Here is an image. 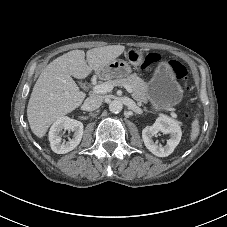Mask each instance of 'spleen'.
Wrapping results in <instances>:
<instances>
[{"mask_svg":"<svg viewBox=\"0 0 227 227\" xmlns=\"http://www.w3.org/2000/svg\"><path fill=\"white\" fill-rule=\"evenodd\" d=\"M198 116L199 115L196 116V118L193 120L191 124L190 142H194L197 139L200 132Z\"/></svg>","mask_w":227,"mask_h":227,"instance_id":"spleen-1","label":"spleen"}]
</instances>
